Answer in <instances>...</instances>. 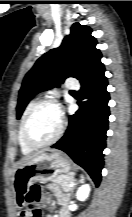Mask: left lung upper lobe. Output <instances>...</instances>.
<instances>
[{"label": "left lung upper lobe", "mask_w": 132, "mask_h": 217, "mask_svg": "<svg viewBox=\"0 0 132 217\" xmlns=\"http://www.w3.org/2000/svg\"><path fill=\"white\" fill-rule=\"evenodd\" d=\"M88 26L75 23L70 35L60 47L41 56L26 74L19 91L17 119L28 102L39 92L63 83L68 77L80 82L89 77L101 65V52L96 49L97 41Z\"/></svg>", "instance_id": "5c2ea615"}]
</instances>
